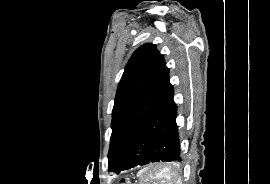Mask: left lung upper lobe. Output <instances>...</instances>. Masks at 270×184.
I'll return each mask as SVG.
<instances>
[{
  "label": "left lung upper lobe",
  "mask_w": 270,
  "mask_h": 184,
  "mask_svg": "<svg viewBox=\"0 0 270 184\" xmlns=\"http://www.w3.org/2000/svg\"><path fill=\"white\" fill-rule=\"evenodd\" d=\"M172 85L156 45L139 47L127 63L112 112L109 171H117L130 148L157 111Z\"/></svg>",
  "instance_id": "left-lung-upper-lobe-1"
}]
</instances>
